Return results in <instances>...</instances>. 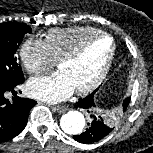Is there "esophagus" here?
<instances>
[{"mask_svg":"<svg viewBox=\"0 0 153 153\" xmlns=\"http://www.w3.org/2000/svg\"><path fill=\"white\" fill-rule=\"evenodd\" d=\"M52 109H53L55 112L63 113V112H65L68 108H67L66 106H53Z\"/></svg>","mask_w":153,"mask_h":153,"instance_id":"obj_1","label":"esophagus"}]
</instances>
